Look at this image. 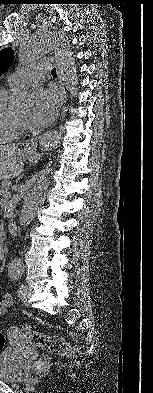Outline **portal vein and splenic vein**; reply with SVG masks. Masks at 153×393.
I'll use <instances>...</instances> for the list:
<instances>
[{"label":"portal vein and splenic vein","instance_id":"obj_1","mask_svg":"<svg viewBox=\"0 0 153 393\" xmlns=\"http://www.w3.org/2000/svg\"><path fill=\"white\" fill-rule=\"evenodd\" d=\"M10 197H11V193L10 192L5 195V198H7V199H9Z\"/></svg>","mask_w":153,"mask_h":393}]
</instances>
